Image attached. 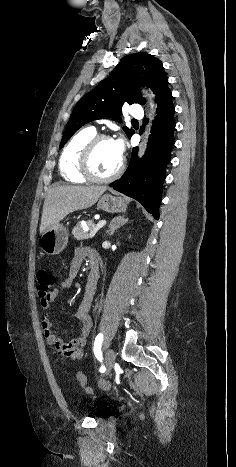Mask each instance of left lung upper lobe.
Masks as SVG:
<instances>
[{"label":"left lung upper lobe","instance_id":"obj_1","mask_svg":"<svg viewBox=\"0 0 236 467\" xmlns=\"http://www.w3.org/2000/svg\"><path fill=\"white\" fill-rule=\"evenodd\" d=\"M139 85L150 87L156 95V101L168 88V78L162 62L153 55L140 52L125 56L108 79L82 97L67 123L59 149L79 128L90 121L113 118L121 122L119 115L125 102L143 105L145 101L140 95ZM123 129L128 138L134 133L127 127Z\"/></svg>","mask_w":236,"mask_h":467}]
</instances>
